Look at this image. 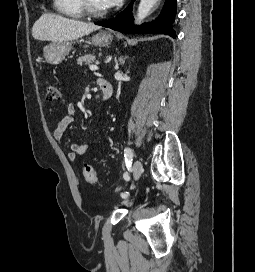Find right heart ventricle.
I'll return each instance as SVG.
<instances>
[{"mask_svg":"<svg viewBox=\"0 0 255 272\" xmlns=\"http://www.w3.org/2000/svg\"><path fill=\"white\" fill-rule=\"evenodd\" d=\"M53 7L58 13L72 18H81L84 15L81 0H53Z\"/></svg>","mask_w":255,"mask_h":272,"instance_id":"1","label":"right heart ventricle"}]
</instances>
